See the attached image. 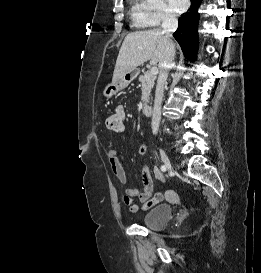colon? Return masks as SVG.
<instances>
[{
  "mask_svg": "<svg viewBox=\"0 0 261 273\" xmlns=\"http://www.w3.org/2000/svg\"><path fill=\"white\" fill-rule=\"evenodd\" d=\"M106 126L108 129L112 131H119L122 128V123H121V117L118 115H111L107 118L106 120ZM168 197L170 199H175V196L172 192H168Z\"/></svg>",
  "mask_w": 261,
  "mask_h": 273,
  "instance_id": "1",
  "label": "colon"
}]
</instances>
